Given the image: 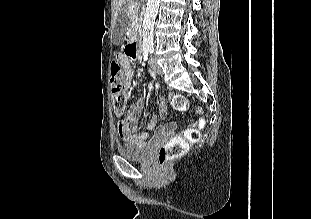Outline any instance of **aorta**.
<instances>
[{
	"label": "aorta",
	"instance_id": "aorta-1",
	"mask_svg": "<svg viewBox=\"0 0 311 219\" xmlns=\"http://www.w3.org/2000/svg\"><path fill=\"white\" fill-rule=\"evenodd\" d=\"M159 2L160 0H148L143 21V33H142L143 49L149 50L153 48V39H154L153 31L155 25V18L158 13Z\"/></svg>",
	"mask_w": 311,
	"mask_h": 219
}]
</instances>
